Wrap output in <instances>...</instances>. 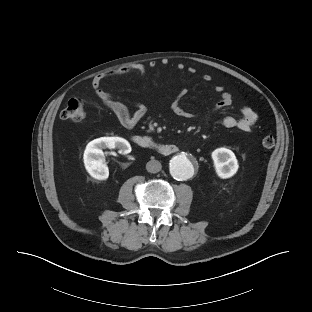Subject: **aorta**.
<instances>
[{"label": "aorta", "mask_w": 312, "mask_h": 312, "mask_svg": "<svg viewBox=\"0 0 312 312\" xmlns=\"http://www.w3.org/2000/svg\"><path fill=\"white\" fill-rule=\"evenodd\" d=\"M195 163L186 155H178L170 161V174L176 180H187L194 175Z\"/></svg>", "instance_id": "aorta-1"}]
</instances>
